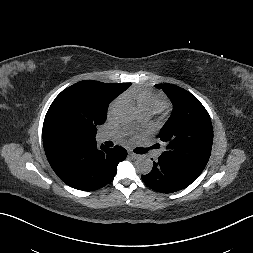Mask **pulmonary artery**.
Segmentation results:
<instances>
[{
  "label": "pulmonary artery",
  "mask_w": 253,
  "mask_h": 253,
  "mask_svg": "<svg viewBox=\"0 0 253 253\" xmlns=\"http://www.w3.org/2000/svg\"><path fill=\"white\" fill-rule=\"evenodd\" d=\"M151 115L152 114L149 112H144L141 114V117H142V119L147 120L151 117ZM112 139H113L112 135L108 134V133H101L98 136V141H100V142H105V141L112 140Z\"/></svg>",
  "instance_id": "obj_1"
}]
</instances>
